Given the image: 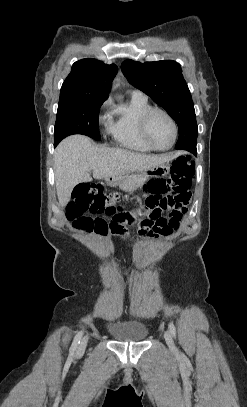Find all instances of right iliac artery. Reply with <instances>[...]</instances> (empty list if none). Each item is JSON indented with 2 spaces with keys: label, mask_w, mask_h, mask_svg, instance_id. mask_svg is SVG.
<instances>
[{
  "label": "right iliac artery",
  "mask_w": 247,
  "mask_h": 407,
  "mask_svg": "<svg viewBox=\"0 0 247 407\" xmlns=\"http://www.w3.org/2000/svg\"><path fill=\"white\" fill-rule=\"evenodd\" d=\"M82 335H83V331L81 330V331H79V332L77 333V335L75 336V338H74V340H73V343H72V345H71V347H70V350H69V352H70L71 355H73V354L75 353V351H76L78 345L80 344Z\"/></svg>",
  "instance_id": "right-iliac-artery-1"
}]
</instances>
